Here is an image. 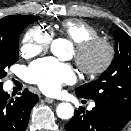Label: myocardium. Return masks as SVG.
<instances>
[{"label":"myocardium","instance_id":"f54148a6","mask_svg":"<svg viewBox=\"0 0 131 131\" xmlns=\"http://www.w3.org/2000/svg\"><path fill=\"white\" fill-rule=\"evenodd\" d=\"M97 47L104 50V57L97 66H90L87 63L89 53ZM116 49L112 41L105 37L95 36L81 41L75 46V61L79 69L88 76L97 77L106 72L112 65Z\"/></svg>","mask_w":131,"mask_h":131}]
</instances>
